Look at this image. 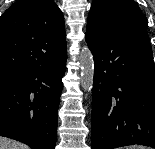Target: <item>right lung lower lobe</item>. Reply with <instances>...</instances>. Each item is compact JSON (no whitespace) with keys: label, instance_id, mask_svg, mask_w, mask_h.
I'll return each mask as SVG.
<instances>
[{"label":"right lung lower lobe","instance_id":"98d812e1","mask_svg":"<svg viewBox=\"0 0 155 149\" xmlns=\"http://www.w3.org/2000/svg\"><path fill=\"white\" fill-rule=\"evenodd\" d=\"M66 59L65 54L23 73L16 84L0 87V136L32 149H55Z\"/></svg>","mask_w":155,"mask_h":149}]
</instances>
